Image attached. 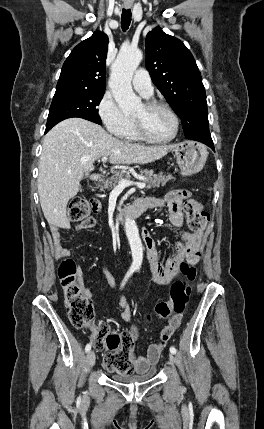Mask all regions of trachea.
Instances as JSON below:
<instances>
[{
  "label": "trachea",
  "instance_id": "3493384b",
  "mask_svg": "<svg viewBox=\"0 0 264 429\" xmlns=\"http://www.w3.org/2000/svg\"><path fill=\"white\" fill-rule=\"evenodd\" d=\"M131 10L130 9H123L122 16H121V28L123 31H126L131 23Z\"/></svg>",
  "mask_w": 264,
  "mask_h": 429
}]
</instances>
